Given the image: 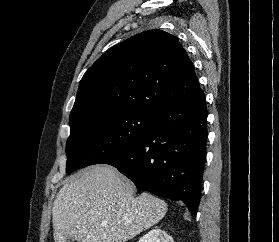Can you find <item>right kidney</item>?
Wrapping results in <instances>:
<instances>
[{
    "label": "right kidney",
    "mask_w": 279,
    "mask_h": 242,
    "mask_svg": "<svg viewBox=\"0 0 279 242\" xmlns=\"http://www.w3.org/2000/svg\"><path fill=\"white\" fill-rule=\"evenodd\" d=\"M138 242H174V240L164 230L155 228L142 236Z\"/></svg>",
    "instance_id": "ca27d5eb"
}]
</instances>
